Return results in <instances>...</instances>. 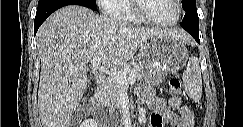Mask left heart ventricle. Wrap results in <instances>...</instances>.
Segmentation results:
<instances>
[{
  "mask_svg": "<svg viewBox=\"0 0 243 127\" xmlns=\"http://www.w3.org/2000/svg\"><path fill=\"white\" fill-rule=\"evenodd\" d=\"M144 12L157 21H172L178 13L174 0H143Z\"/></svg>",
  "mask_w": 243,
  "mask_h": 127,
  "instance_id": "b2bd125f",
  "label": "left heart ventricle"
}]
</instances>
